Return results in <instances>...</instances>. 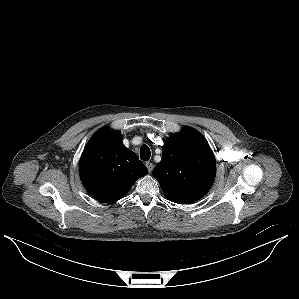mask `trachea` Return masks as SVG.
Listing matches in <instances>:
<instances>
[{
  "mask_svg": "<svg viewBox=\"0 0 299 299\" xmlns=\"http://www.w3.org/2000/svg\"><path fill=\"white\" fill-rule=\"evenodd\" d=\"M151 157L150 149L147 145H142L140 148V158L144 161H148Z\"/></svg>",
  "mask_w": 299,
  "mask_h": 299,
  "instance_id": "obj_1",
  "label": "trachea"
}]
</instances>
